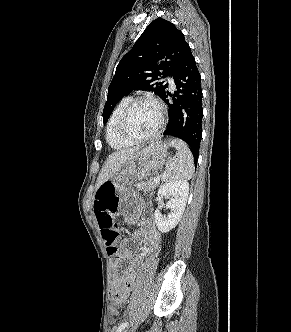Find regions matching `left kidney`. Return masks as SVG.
I'll return each mask as SVG.
<instances>
[{
	"mask_svg": "<svg viewBox=\"0 0 291 332\" xmlns=\"http://www.w3.org/2000/svg\"><path fill=\"white\" fill-rule=\"evenodd\" d=\"M189 183L187 181H172L163 184L157 193L159 199L170 196L166 208L170 210L167 217L162 216L159 209L155 210L154 218L158 230L169 232L179 223L188 199Z\"/></svg>",
	"mask_w": 291,
	"mask_h": 332,
	"instance_id": "obj_1",
	"label": "left kidney"
}]
</instances>
